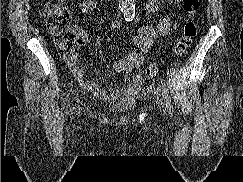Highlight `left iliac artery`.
I'll return each mask as SVG.
<instances>
[{
	"label": "left iliac artery",
	"mask_w": 243,
	"mask_h": 182,
	"mask_svg": "<svg viewBox=\"0 0 243 182\" xmlns=\"http://www.w3.org/2000/svg\"><path fill=\"white\" fill-rule=\"evenodd\" d=\"M162 94H163L164 99L166 100V108L168 110V113L172 117L173 112H172V106H171L170 98L168 95V91L166 89H163Z\"/></svg>",
	"instance_id": "44dca946"
}]
</instances>
